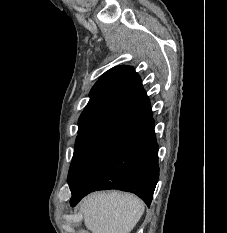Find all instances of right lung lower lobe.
<instances>
[{"mask_svg": "<svg viewBox=\"0 0 227 233\" xmlns=\"http://www.w3.org/2000/svg\"><path fill=\"white\" fill-rule=\"evenodd\" d=\"M159 178L158 144L152 117L117 137L71 189L70 205L96 190L119 189L139 196L148 206Z\"/></svg>", "mask_w": 227, "mask_h": 233, "instance_id": "right-lung-lower-lobe-1", "label": "right lung lower lobe"}]
</instances>
